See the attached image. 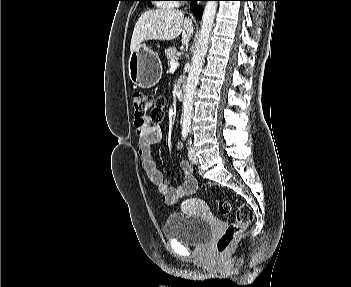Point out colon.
<instances>
[{
    "mask_svg": "<svg viewBox=\"0 0 351 287\" xmlns=\"http://www.w3.org/2000/svg\"><path fill=\"white\" fill-rule=\"evenodd\" d=\"M136 120H149L159 123L163 118V107L165 100L162 96H155L141 91H136L132 95ZM217 209L223 215L231 212V205L228 201L219 200ZM253 219V210L247 204H241L236 210L235 219L228 224L223 233L216 240V249L219 253H224L232 242L244 231L246 226Z\"/></svg>",
    "mask_w": 351,
    "mask_h": 287,
    "instance_id": "5ec220e1",
    "label": "colon"
}]
</instances>
